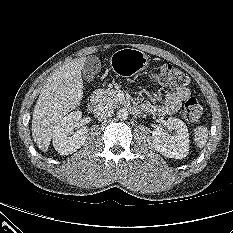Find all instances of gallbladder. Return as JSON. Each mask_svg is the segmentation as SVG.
<instances>
[{
    "instance_id": "obj_1",
    "label": "gallbladder",
    "mask_w": 233,
    "mask_h": 233,
    "mask_svg": "<svg viewBox=\"0 0 233 233\" xmlns=\"http://www.w3.org/2000/svg\"><path fill=\"white\" fill-rule=\"evenodd\" d=\"M101 70V63L98 57L96 56H88L85 60L83 69H82V76L83 79L87 82L93 81L95 76Z\"/></svg>"
}]
</instances>
